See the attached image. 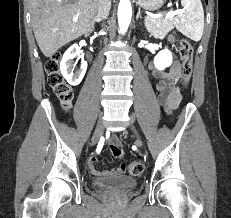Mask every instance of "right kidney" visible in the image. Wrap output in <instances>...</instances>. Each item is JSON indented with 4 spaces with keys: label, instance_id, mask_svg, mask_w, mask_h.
<instances>
[{
    "label": "right kidney",
    "instance_id": "ca27d5eb",
    "mask_svg": "<svg viewBox=\"0 0 231 218\" xmlns=\"http://www.w3.org/2000/svg\"><path fill=\"white\" fill-rule=\"evenodd\" d=\"M82 58L81 66L78 70L74 72V58ZM60 70L63 77L67 80L70 85H78L82 81L86 70H87V62L84 61V58L80 56V48L77 44L69 47L63 55V58L60 63Z\"/></svg>",
    "mask_w": 231,
    "mask_h": 218
}]
</instances>
